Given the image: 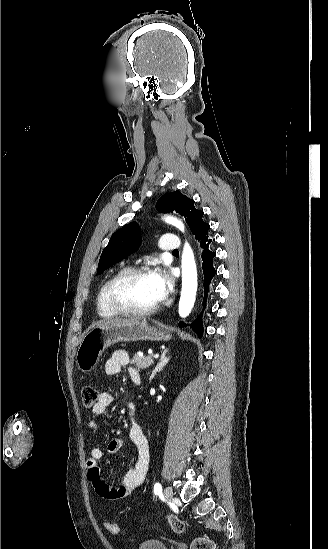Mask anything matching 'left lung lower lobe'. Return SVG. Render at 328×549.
Wrapping results in <instances>:
<instances>
[{
	"instance_id": "0a47b994",
	"label": "left lung lower lobe",
	"mask_w": 328,
	"mask_h": 549,
	"mask_svg": "<svg viewBox=\"0 0 328 549\" xmlns=\"http://www.w3.org/2000/svg\"><path fill=\"white\" fill-rule=\"evenodd\" d=\"M200 246L203 249L201 257H202V269H203V275H204V303L206 299V293L209 291V282L210 280L215 276L216 270L213 267V259L216 256V253L211 251L209 249V245L212 242V239H210L208 236H204L200 238L199 240ZM179 326H186L184 323H179ZM199 335V337H202L203 334V324H202V315H199L196 320L190 325Z\"/></svg>"
}]
</instances>
